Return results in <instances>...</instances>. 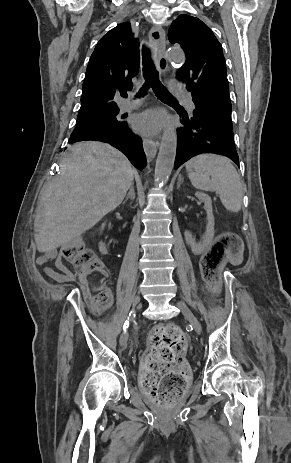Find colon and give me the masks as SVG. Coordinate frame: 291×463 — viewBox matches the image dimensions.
Returning a JSON list of instances; mask_svg holds the SVG:
<instances>
[{"label":"colon","mask_w":291,"mask_h":463,"mask_svg":"<svg viewBox=\"0 0 291 463\" xmlns=\"http://www.w3.org/2000/svg\"><path fill=\"white\" fill-rule=\"evenodd\" d=\"M238 251L239 238L235 233H223L211 244L201 262L211 287H215L225 259L236 257ZM61 255L74 267L92 310L97 313L106 308L112 297L105 287L107 272L95 253L81 240H74L61 248ZM149 345L142 362L143 389L152 400L169 404L180 397L186 387V336L176 325L167 324L152 332Z\"/></svg>","instance_id":"1"}]
</instances>
